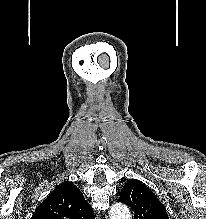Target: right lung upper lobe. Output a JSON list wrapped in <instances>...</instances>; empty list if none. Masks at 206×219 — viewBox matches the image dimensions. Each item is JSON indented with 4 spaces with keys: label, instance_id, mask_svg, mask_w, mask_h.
<instances>
[{
    "label": "right lung upper lobe",
    "instance_id": "1",
    "mask_svg": "<svg viewBox=\"0 0 206 219\" xmlns=\"http://www.w3.org/2000/svg\"><path fill=\"white\" fill-rule=\"evenodd\" d=\"M31 219H94V213L83 193L66 181L43 200Z\"/></svg>",
    "mask_w": 206,
    "mask_h": 219
}]
</instances>
